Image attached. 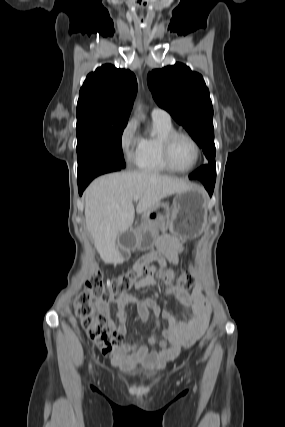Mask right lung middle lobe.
I'll return each mask as SVG.
<instances>
[{"instance_id":"right-lung-middle-lobe-1","label":"right lung middle lobe","mask_w":285,"mask_h":427,"mask_svg":"<svg viewBox=\"0 0 285 427\" xmlns=\"http://www.w3.org/2000/svg\"><path fill=\"white\" fill-rule=\"evenodd\" d=\"M127 120H77L78 176L98 165L125 167L121 136Z\"/></svg>"}]
</instances>
